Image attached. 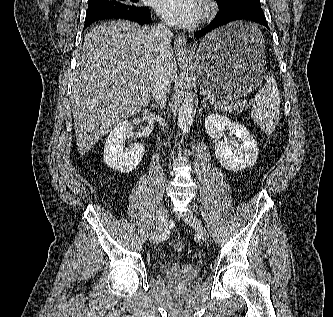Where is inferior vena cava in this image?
Instances as JSON below:
<instances>
[{"mask_svg":"<svg viewBox=\"0 0 333 317\" xmlns=\"http://www.w3.org/2000/svg\"><path fill=\"white\" fill-rule=\"evenodd\" d=\"M155 38L158 41L159 50L165 52L170 47L173 33L166 26H158L152 29ZM170 91V80L163 70H160L153 83L152 95L161 108L166 106L167 94Z\"/></svg>","mask_w":333,"mask_h":317,"instance_id":"1","label":"inferior vena cava"}]
</instances>
